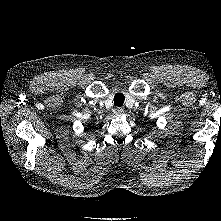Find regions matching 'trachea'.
<instances>
[{"label":"trachea","mask_w":221,"mask_h":221,"mask_svg":"<svg viewBox=\"0 0 221 221\" xmlns=\"http://www.w3.org/2000/svg\"><path fill=\"white\" fill-rule=\"evenodd\" d=\"M125 100V96L122 93H117L114 96V105L122 106Z\"/></svg>","instance_id":"trachea-1"}]
</instances>
